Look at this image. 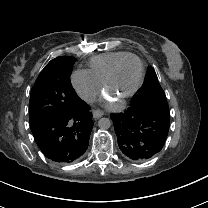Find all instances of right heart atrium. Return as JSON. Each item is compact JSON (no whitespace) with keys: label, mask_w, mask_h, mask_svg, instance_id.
<instances>
[{"label":"right heart atrium","mask_w":208,"mask_h":208,"mask_svg":"<svg viewBox=\"0 0 208 208\" xmlns=\"http://www.w3.org/2000/svg\"><path fill=\"white\" fill-rule=\"evenodd\" d=\"M71 83L82 100L90 103L100 101L101 86L87 72L74 71L71 74Z\"/></svg>","instance_id":"d8ad5b80"}]
</instances>
